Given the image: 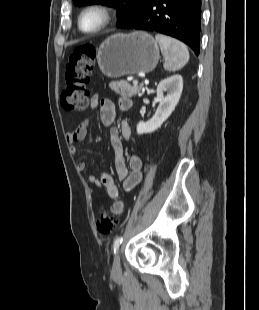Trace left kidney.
Listing matches in <instances>:
<instances>
[{
    "label": "left kidney",
    "instance_id": "left-kidney-1",
    "mask_svg": "<svg viewBox=\"0 0 259 310\" xmlns=\"http://www.w3.org/2000/svg\"><path fill=\"white\" fill-rule=\"evenodd\" d=\"M183 90V79L179 74L162 80L157 87L159 106L153 117L147 122L140 121L137 125L139 135L152 133L168 119L174 111ZM166 93V95H164Z\"/></svg>",
    "mask_w": 259,
    "mask_h": 310
}]
</instances>
